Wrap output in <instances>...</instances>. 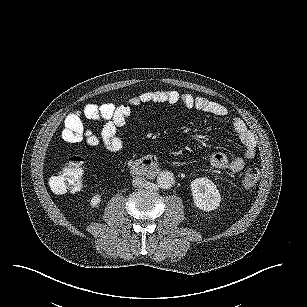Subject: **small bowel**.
<instances>
[{
	"instance_id": "c3829d8e",
	"label": "small bowel",
	"mask_w": 307,
	"mask_h": 307,
	"mask_svg": "<svg viewBox=\"0 0 307 307\" xmlns=\"http://www.w3.org/2000/svg\"><path fill=\"white\" fill-rule=\"evenodd\" d=\"M150 104H180L187 109H197L216 117L228 115L226 106L204 96H194L175 90L148 91L129 98L125 104L116 106L109 102L99 105L88 103L71 112L65 118L62 139L67 143L80 142L82 140V117L85 116L89 119L104 121L101 140L107 149L119 151L123 147V140L119 134L120 129L126 125L135 109ZM231 126L244 147L243 155L229 158L224 153L214 152L210 155V164L218 170L239 172L244 168L247 160L256 156V141L241 118H232Z\"/></svg>"
}]
</instances>
